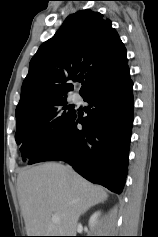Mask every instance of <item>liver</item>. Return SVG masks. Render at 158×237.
Segmentation results:
<instances>
[{
    "mask_svg": "<svg viewBox=\"0 0 158 237\" xmlns=\"http://www.w3.org/2000/svg\"><path fill=\"white\" fill-rule=\"evenodd\" d=\"M17 190L28 236H73L80 215L108 197L104 188L56 162L21 170ZM54 214L59 222L52 221Z\"/></svg>",
    "mask_w": 158,
    "mask_h": 237,
    "instance_id": "1",
    "label": "liver"
}]
</instances>
